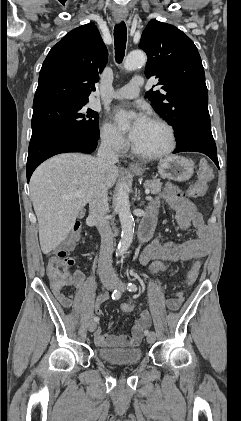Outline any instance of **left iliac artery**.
Listing matches in <instances>:
<instances>
[{
	"instance_id": "44dca946",
	"label": "left iliac artery",
	"mask_w": 241,
	"mask_h": 421,
	"mask_svg": "<svg viewBox=\"0 0 241 421\" xmlns=\"http://www.w3.org/2000/svg\"><path fill=\"white\" fill-rule=\"evenodd\" d=\"M126 287L131 292L137 291V286L134 283H127ZM144 333H145V335H148L149 334V331L148 330H145Z\"/></svg>"
}]
</instances>
